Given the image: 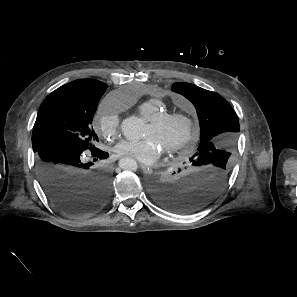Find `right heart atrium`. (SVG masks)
Segmentation results:
<instances>
[{
	"label": "right heart atrium",
	"instance_id": "d8ad5b80",
	"mask_svg": "<svg viewBox=\"0 0 297 297\" xmlns=\"http://www.w3.org/2000/svg\"><path fill=\"white\" fill-rule=\"evenodd\" d=\"M121 111L122 106L118 104L113 95H108L102 100L95 116V122L105 138L113 139L118 135Z\"/></svg>",
	"mask_w": 297,
	"mask_h": 297
}]
</instances>
